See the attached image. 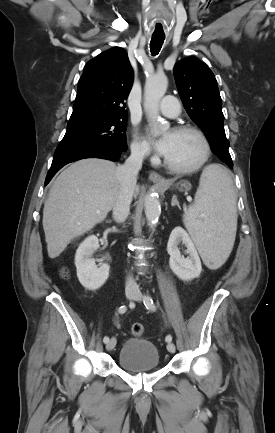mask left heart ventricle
Here are the masks:
<instances>
[{
	"mask_svg": "<svg viewBox=\"0 0 275 433\" xmlns=\"http://www.w3.org/2000/svg\"><path fill=\"white\" fill-rule=\"evenodd\" d=\"M165 136L170 138V147L165 158L178 167H191L198 163L203 156V144L191 133L169 132Z\"/></svg>",
	"mask_w": 275,
	"mask_h": 433,
	"instance_id": "obj_1",
	"label": "left heart ventricle"
}]
</instances>
